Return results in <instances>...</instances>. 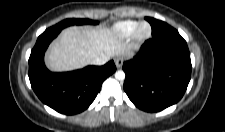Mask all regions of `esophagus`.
<instances>
[{"mask_svg": "<svg viewBox=\"0 0 225 132\" xmlns=\"http://www.w3.org/2000/svg\"><path fill=\"white\" fill-rule=\"evenodd\" d=\"M122 64H123L122 58L115 59V65H116L117 68H121Z\"/></svg>", "mask_w": 225, "mask_h": 132, "instance_id": "34e87169", "label": "esophagus"}]
</instances>
